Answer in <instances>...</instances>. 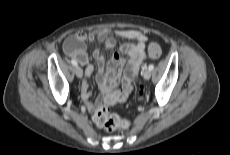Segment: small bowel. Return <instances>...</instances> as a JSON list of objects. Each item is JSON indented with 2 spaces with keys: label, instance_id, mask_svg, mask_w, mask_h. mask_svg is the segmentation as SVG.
Listing matches in <instances>:
<instances>
[{
  "label": "small bowel",
  "instance_id": "small-bowel-1",
  "mask_svg": "<svg viewBox=\"0 0 230 155\" xmlns=\"http://www.w3.org/2000/svg\"><path fill=\"white\" fill-rule=\"evenodd\" d=\"M116 38L127 41L121 46V51L128 54L129 59L124 60L119 54L111 56L108 65H105V55L100 49L93 52L97 62V82L102 91V97L96 102L90 98V84L88 78L94 72L93 65L88 63V55L83 44L86 41H99L105 50H112L116 45ZM147 36L145 33L134 30L96 29L91 32H79L71 35L64 43L66 55L73 58L82 66H86L85 74L87 80L82 84L81 98L89 111H94L101 104L114 105L124 102L133 89V81L139 72L140 66L146 58ZM116 96V98H114Z\"/></svg>",
  "mask_w": 230,
  "mask_h": 155
}]
</instances>
